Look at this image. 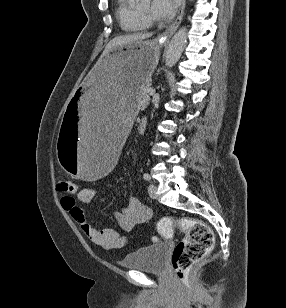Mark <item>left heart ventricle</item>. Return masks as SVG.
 <instances>
[{
	"label": "left heart ventricle",
	"mask_w": 286,
	"mask_h": 308,
	"mask_svg": "<svg viewBox=\"0 0 286 308\" xmlns=\"http://www.w3.org/2000/svg\"><path fill=\"white\" fill-rule=\"evenodd\" d=\"M139 10L144 13L150 14L151 13V3L150 2L145 3L143 6L140 7Z\"/></svg>",
	"instance_id": "1"
}]
</instances>
